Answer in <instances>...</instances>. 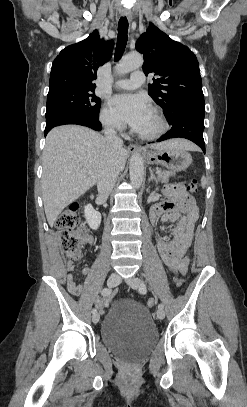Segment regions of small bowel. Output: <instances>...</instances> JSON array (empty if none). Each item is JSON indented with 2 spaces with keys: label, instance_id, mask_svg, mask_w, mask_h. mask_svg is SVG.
I'll return each mask as SVG.
<instances>
[{
  "label": "small bowel",
  "instance_id": "c3829d8e",
  "mask_svg": "<svg viewBox=\"0 0 247 407\" xmlns=\"http://www.w3.org/2000/svg\"><path fill=\"white\" fill-rule=\"evenodd\" d=\"M167 199L154 205L150 212L153 224L173 223L170 230L171 240H166L164 236L156 237V247L158 253L167 268L180 275H184L188 269L189 250L192 245L195 224L199 218L198 207L195 200L190 197L182 185H169L165 188ZM84 243L91 245L93 240L86 237ZM67 287L71 294L78 295L82 292L83 285L75 282L72 271L75 268L73 261L66 264ZM89 267L82 270L84 275L89 274ZM104 299H97L96 305L103 307Z\"/></svg>",
  "mask_w": 247,
  "mask_h": 407
}]
</instances>
